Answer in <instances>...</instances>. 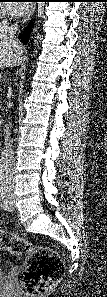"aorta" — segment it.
I'll return each instance as SVG.
<instances>
[{
  "instance_id": "1",
  "label": "aorta",
  "mask_w": 107,
  "mask_h": 297,
  "mask_svg": "<svg viewBox=\"0 0 107 297\" xmlns=\"http://www.w3.org/2000/svg\"><path fill=\"white\" fill-rule=\"evenodd\" d=\"M11 122L9 121L4 128V132H5V137L7 138L10 135V127H11Z\"/></svg>"
}]
</instances>
